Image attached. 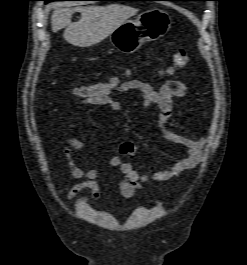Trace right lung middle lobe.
Instances as JSON below:
<instances>
[{
	"instance_id": "right-lung-middle-lobe-1",
	"label": "right lung middle lobe",
	"mask_w": 247,
	"mask_h": 265,
	"mask_svg": "<svg viewBox=\"0 0 247 265\" xmlns=\"http://www.w3.org/2000/svg\"><path fill=\"white\" fill-rule=\"evenodd\" d=\"M45 1L46 3L50 2V1H54V0H43ZM101 1H106V0H101ZM110 1H116V0H110Z\"/></svg>"
}]
</instances>
